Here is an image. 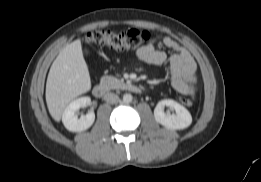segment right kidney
I'll return each mask as SVG.
<instances>
[{
  "label": "right kidney",
  "mask_w": 261,
  "mask_h": 182,
  "mask_svg": "<svg viewBox=\"0 0 261 182\" xmlns=\"http://www.w3.org/2000/svg\"><path fill=\"white\" fill-rule=\"evenodd\" d=\"M91 102L89 97H81L72 101L63 111L62 122L65 128L71 132H81L87 130L95 121V114L89 112L88 114L78 118V110L86 107Z\"/></svg>",
  "instance_id": "1"
}]
</instances>
